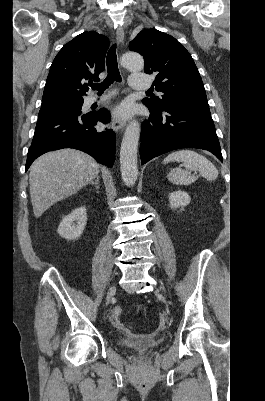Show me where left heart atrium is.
I'll return each mask as SVG.
<instances>
[{"mask_svg": "<svg viewBox=\"0 0 265 401\" xmlns=\"http://www.w3.org/2000/svg\"><path fill=\"white\" fill-rule=\"evenodd\" d=\"M134 112L133 106L129 102H123L115 109V116L120 119L130 117Z\"/></svg>", "mask_w": 265, "mask_h": 401, "instance_id": "39dd6f15", "label": "left heart atrium"}]
</instances>
